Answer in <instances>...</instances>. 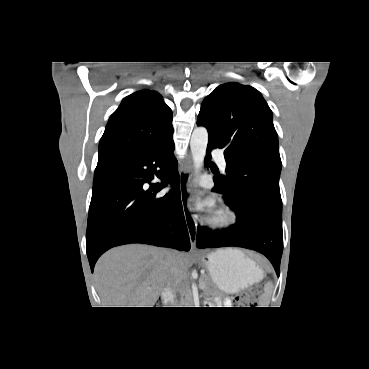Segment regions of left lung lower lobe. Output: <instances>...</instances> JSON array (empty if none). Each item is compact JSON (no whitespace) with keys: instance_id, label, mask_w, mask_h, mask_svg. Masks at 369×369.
<instances>
[{"instance_id":"0a47b994","label":"left lung lower lobe","mask_w":369,"mask_h":369,"mask_svg":"<svg viewBox=\"0 0 369 369\" xmlns=\"http://www.w3.org/2000/svg\"><path fill=\"white\" fill-rule=\"evenodd\" d=\"M220 148L209 139L205 164L211 150ZM215 192L224 195L225 204L236 213V223L228 229H197V247L214 248L236 246L252 249L265 255L279 276L283 250L282 200L268 188L258 185L226 184L214 177Z\"/></svg>"}]
</instances>
